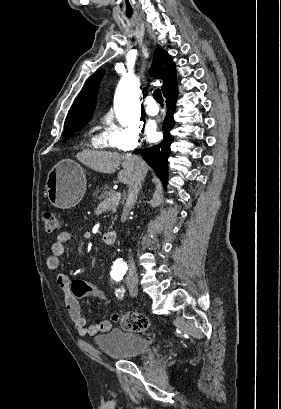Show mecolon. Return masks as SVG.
Returning a JSON list of instances; mask_svg holds the SVG:
<instances>
[{
	"label": "colon",
	"mask_w": 281,
	"mask_h": 409,
	"mask_svg": "<svg viewBox=\"0 0 281 409\" xmlns=\"http://www.w3.org/2000/svg\"><path fill=\"white\" fill-rule=\"evenodd\" d=\"M42 220L48 233H56L61 230L58 216L53 209L43 208ZM114 320L119 322L124 330L141 331L148 326V321L143 315L133 312L126 313Z\"/></svg>",
	"instance_id": "colon-1"
}]
</instances>
